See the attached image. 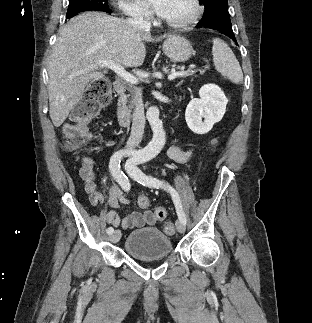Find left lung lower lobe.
I'll return each mask as SVG.
<instances>
[{
    "instance_id": "0a47b994",
    "label": "left lung lower lobe",
    "mask_w": 312,
    "mask_h": 323,
    "mask_svg": "<svg viewBox=\"0 0 312 323\" xmlns=\"http://www.w3.org/2000/svg\"><path fill=\"white\" fill-rule=\"evenodd\" d=\"M198 27V26H197ZM206 28H209V29H213V30H216L224 35H227L228 37H230L234 42L237 43L236 41V38L234 36V33L232 31V25L229 24V23H226V22H220L218 25H215L213 27H207V26H204Z\"/></svg>"
}]
</instances>
